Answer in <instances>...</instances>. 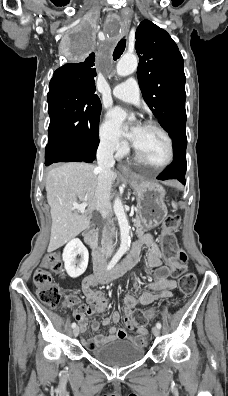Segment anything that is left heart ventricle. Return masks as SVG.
I'll return each mask as SVG.
<instances>
[{"instance_id":"b2bd125f","label":"left heart ventricle","mask_w":228,"mask_h":396,"mask_svg":"<svg viewBox=\"0 0 228 396\" xmlns=\"http://www.w3.org/2000/svg\"><path fill=\"white\" fill-rule=\"evenodd\" d=\"M134 145L152 164L164 163L169 156V145L166 138L156 129L144 125L135 127Z\"/></svg>"}]
</instances>
